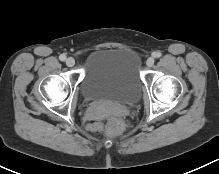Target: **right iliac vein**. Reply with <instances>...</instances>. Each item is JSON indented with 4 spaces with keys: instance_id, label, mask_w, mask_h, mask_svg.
Masks as SVG:
<instances>
[{
    "instance_id": "right-iliac-vein-1",
    "label": "right iliac vein",
    "mask_w": 219,
    "mask_h": 174,
    "mask_svg": "<svg viewBox=\"0 0 219 174\" xmlns=\"http://www.w3.org/2000/svg\"><path fill=\"white\" fill-rule=\"evenodd\" d=\"M74 64H75L74 58L69 57V58L66 59V65H67L68 67H72V66H74Z\"/></svg>"
}]
</instances>
